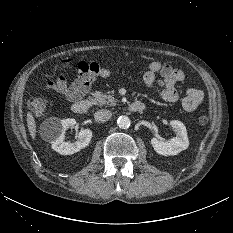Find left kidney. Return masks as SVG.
I'll list each match as a JSON object with an SVG mask.
<instances>
[{
	"instance_id": "1",
	"label": "left kidney",
	"mask_w": 233,
	"mask_h": 233,
	"mask_svg": "<svg viewBox=\"0 0 233 233\" xmlns=\"http://www.w3.org/2000/svg\"><path fill=\"white\" fill-rule=\"evenodd\" d=\"M170 126L174 129L176 137L169 141H162L155 137L151 139L154 150L163 156L177 155L189 146V140L185 125L178 120L170 121Z\"/></svg>"
}]
</instances>
